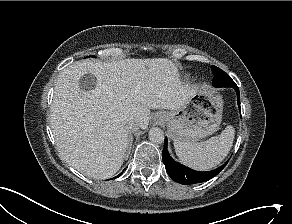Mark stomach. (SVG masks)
I'll return each instance as SVG.
<instances>
[{"label": "stomach", "mask_w": 292, "mask_h": 224, "mask_svg": "<svg viewBox=\"0 0 292 224\" xmlns=\"http://www.w3.org/2000/svg\"><path fill=\"white\" fill-rule=\"evenodd\" d=\"M222 96L210 86H201L179 109L158 112L164 115V123L171 139L194 142L214 134L220 127L223 112Z\"/></svg>", "instance_id": "1"}]
</instances>
